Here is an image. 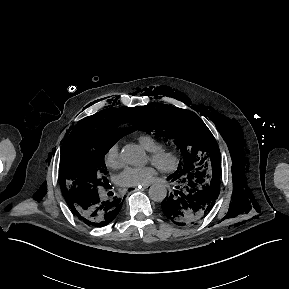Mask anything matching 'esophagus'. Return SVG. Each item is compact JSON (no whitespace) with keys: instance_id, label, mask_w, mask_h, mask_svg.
<instances>
[{"instance_id":"1","label":"esophagus","mask_w":289,"mask_h":289,"mask_svg":"<svg viewBox=\"0 0 289 289\" xmlns=\"http://www.w3.org/2000/svg\"><path fill=\"white\" fill-rule=\"evenodd\" d=\"M149 186H150V184H147V185L142 186L141 188H142V189H147ZM134 189H135V190H138L139 187H135Z\"/></svg>"}]
</instances>
